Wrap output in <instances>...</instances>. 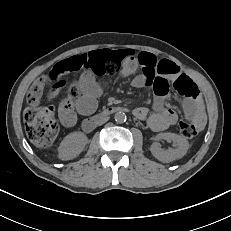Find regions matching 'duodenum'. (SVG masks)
Masks as SVG:
<instances>
[{
    "mask_svg": "<svg viewBox=\"0 0 231 231\" xmlns=\"http://www.w3.org/2000/svg\"><path fill=\"white\" fill-rule=\"evenodd\" d=\"M128 109L124 106L111 105L103 108L98 113L93 116L87 118L82 123V129L86 132L92 131L95 127H97L101 121H103L108 116H111L118 112L127 111ZM136 113V111H134Z\"/></svg>",
    "mask_w": 231,
    "mask_h": 231,
    "instance_id": "obj_1",
    "label": "duodenum"
}]
</instances>
